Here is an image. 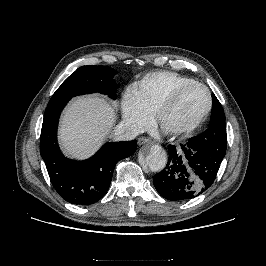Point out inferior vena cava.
Returning <instances> with one entry per match:
<instances>
[{
    "instance_id": "602c4592",
    "label": "inferior vena cava",
    "mask_w": 266,
    "mask_h": 266,
    "mask_svg": "<svg viewBox=\"0 0 266 266\" xmlns=\"http://www.w3.org/2000/svg\"><path fill=\"white\" fill-rule=\"evenodd\" d=\"M141 128L129 122H120L114 130V139L117 141L132 140L141 133Z\"/></svg>"
}]
</instances>
